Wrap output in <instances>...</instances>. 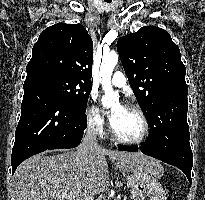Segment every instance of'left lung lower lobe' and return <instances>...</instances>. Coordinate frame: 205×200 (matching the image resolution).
I'll use <instances>...</instances> for the list:
<instances>
[{
    "instance_id": "1",
    "label": "left lung lower lobe",
    "mask_w": 205,
    "mask_h": 200,
    "mask_svg": "<svg viewBox=\"0 0 205 200\" xmlns=\"http://www.w3.org/2000/svg\"><path fill=\"white\" fill-rule=\"evenodd\" d=\"M156 113L161 120L153 121L147 140L140 146L118 147L122 151H141L163 162L176 166L187 176L190 183L193 155L190 147L187 123V94L177 93L162 98L157 103ZM166 116H162L163 113Z\"/></svg>"
}]
</instances>
